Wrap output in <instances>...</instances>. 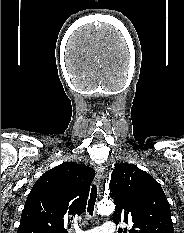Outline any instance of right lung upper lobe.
I'll return each mask as SVG.
<instances>
[{"label":"right lung upper lobe","instance_id":"right-lung-upper-lobe-1","mask_svg":"<svg viewBox=\"0 0 184 233\" xmlns=\"http://www.w3.org/2000/svg\"><path fill=\"white\" fill-rule=\"evenodd\" d=\"M95 170L64 162L45 172L33 185L17 233H67L65 224L81 215Z\"/></svg>","mask_w":184,"mask_h":233}]
</instances>
